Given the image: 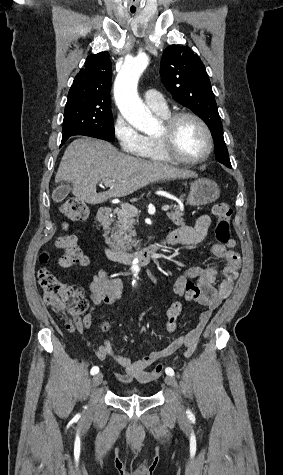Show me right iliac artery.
Masks as SVG:
<instances>
[{"label": "right iliac artery", "instance_id": "right-iliac-artery-1", "mask_svg": "<svg viewBox=\"0 0 283 475\" xmlns=\"http://www.w3.org/2000/svg\"><path fill=\"white\" fill-rule=\"evenodd\" d=\"M99 372V368L97 366L92 367L91 369V375H95Z\"/></svg>", "mask_w": 283, "mask_h": 475}]
</instances>
